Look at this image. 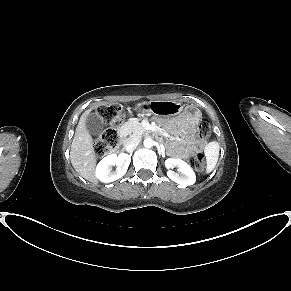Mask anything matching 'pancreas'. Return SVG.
<instances>
[{
    "label": "pancreas",
    "instance_id": "cf45deb5",
    "mask_svg": "<svg viewBox=\"0 0 291 291\" xmlns=\"http://www.w3.org/2000/svg\"><path fill=\"white\" fill-rule=\"evenodd\" d=\"M126 126L130 127V131L134 135H142L145 131V127L139 121L127 122Z\"/></svg>",
    "mask_w": 291,
    "mask_h": 291
}]
</instances>
